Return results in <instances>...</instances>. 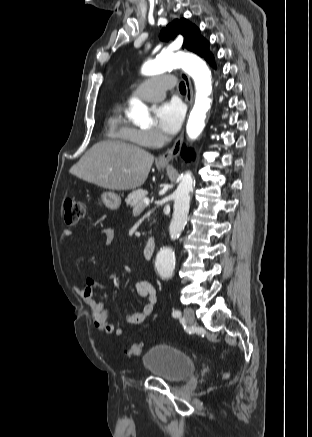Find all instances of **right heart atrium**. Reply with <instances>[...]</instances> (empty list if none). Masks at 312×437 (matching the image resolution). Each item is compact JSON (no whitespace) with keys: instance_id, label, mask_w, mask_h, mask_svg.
<instances>
[{"instance_id":"1","label":"right heart atrium","mask_w":312,"mask_h":437,"mask_svg":"<svg viewBox=\"0 0 312 437\" xmlns=\"http://www.w3.org/2000/svg\"><path fill=\"white\" fill-rule=\"evenodd\" d=\"M138 137L143 145L156 146L161 143L162 136L156 130H139Z\"/></svg>"}]
</instances>
